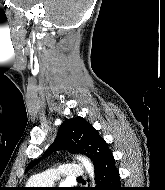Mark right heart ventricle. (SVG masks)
<instances>
[{
	"label": "right heart ventricle",
	"mask_w": 165,
	"mask_h": 190,
	"mask_svg": "<svg viewBox=\"0 0 165 190\" xmlns=\"http://www.w3.org/2000/svg\"><path fill=\"white\" fill-rule=\"evenodd\" d=\"M29 186L32 187V186H36L35 183H33L32 181L29 182Z\"/></svg>",
	"instance_id": "right-heart-ventricle-1"
}]
</instances>
